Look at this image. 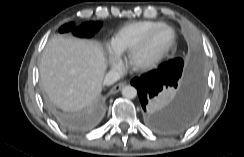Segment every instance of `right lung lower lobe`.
<instances>
[{
	"mask_svg": "<svg viewBox=\"0 0 244 157\" xmlns=\"http://www.w3.org/2000/svg\"><path fill=\"white\" fill-rule=\"evenodd\" d=\"M64 123L68 126V127H74V124L72 122L69 121H64Z\"/></svg>",
	"mask_w": 244,
	"mask_h": 157,
	"instance_id": "98d812e1",
	"label": "right lung lower lobe"
}]
</instances>
